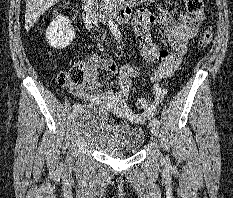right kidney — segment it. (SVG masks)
Returning a JSON list of instances; mask_svg holds the SVG:
<instances>
[{
	"label": "right kidney",
	"mask_w": 233,
	"mask_h": 198,
	"mask_svg": "<svg viewBox=\"0 0 233 198\" xmlns=\"http://www.w3.org/2000/svg\"><path fill=\"white\" fill-rule=\"evenodd\" d=\"M75 37L74 28L69 19L64 16H57L46 30V38L49 45L55 49H64Z\"/></svg>",
	"instance_id": "1"
}]
</instances>
